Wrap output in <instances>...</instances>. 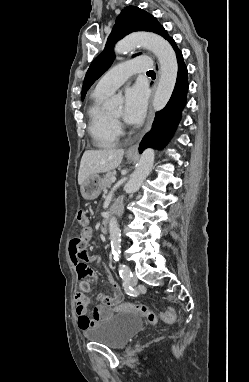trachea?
<instances>
[{
    "mask_svg": "<svg viewBox=\"0 0 249 382\" xmlns=\"http://www.w3.org/2000/svg\"><path fill=\"white\" fill-rule=\"evenodd\" d=\"M147 74H155V72L153 70H150L147 72Z\"/></svg>",
    "mask_w": 249,
    "mask_h": 382,
    "instance_id": "3493384b",
    "label": "trachea"
}]
</instances>
